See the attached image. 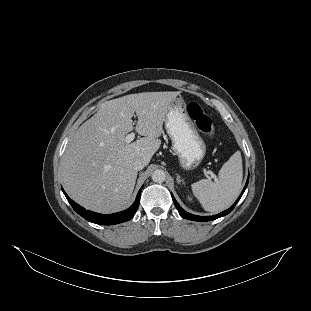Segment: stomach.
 I'll return each instance as SVG.
<instances>
[{
    "label": "stomach",
    "mask_w": 311,
    "mask_h": 311,
    "mask_svg": "<svg viewBox=\"0 0 311 311\" xmlns=\"http://www.w3.org/2000/svg\"><path fill=\"white\" fill-rule=\"evenodd\" d=\"M164 125L179 165L185 170L195 169L206 154V144L190 118L182 97L176 98L168 106Z\"/></svg>",
    "instance_id": "stomach-1"
}]
</instances>
